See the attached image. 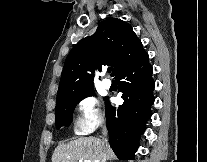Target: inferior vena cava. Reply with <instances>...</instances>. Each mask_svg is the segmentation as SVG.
Returning a JSON list of instances; mask_svg holds the SVG:
<instances>
[{"instance_id": "inferior-vena-cava-1", "label": "inferior vena cava", "mask_w": 207, "mask_h": 162, "mask_svg": "<svg viewBox=\"0 0 207 162\" xmlns=\"http://www.w3.org/2000/svg\"><path fill=\"white\" fill-rule=\"evenodd\" d=\"M102 134H103L102 141L107 144V138H106V136H107V128H106L105 125L102 126ZM105 160L106 159L104 157L103 160H102V162H104Z\"/></svg>"}]
</instances>
